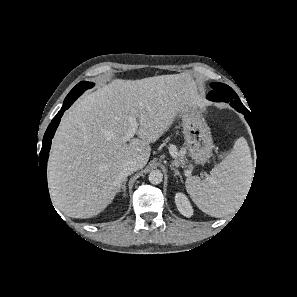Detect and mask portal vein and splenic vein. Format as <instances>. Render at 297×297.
<instances>
[{"label": "portal vein and splenic vein", "instance_id": "18ae733b", "mask_svg": "<svg viewBox=\"0 0 297 297\" xmlns=\"http://www.w3.org/2000/svg\"><path fill=\"white\" fill-rule=\"evenodd\" d=\"M129 122H130L129 128L123 137L124 142L129 141L135 135L138 129V123L135 118H130Z\"/></svg>", "mask_w": 297, "mask_h": 297}]
</instances>
